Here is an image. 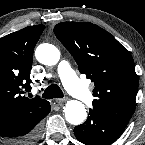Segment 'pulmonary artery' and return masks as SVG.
Returning a JSON list of instances; mask_svg holds the SVG:
<instances>
[{"mask_svg":"<svg viewBox=\"0 0 145 145\" xmlns=\"http://www.w3.org/2000/svg\"><path fill=\"white\" fill-rule=\"evenodd\" d=\"M59 75L67 89L79 100L90 103L93 100L92 93L77 78L67 61H61L58 66Z\"/></svg>","mask_w":145,"mask_h":145,"instance_id":"e3ab8cb5","label":"pulmonary artery"}]
</instances>
